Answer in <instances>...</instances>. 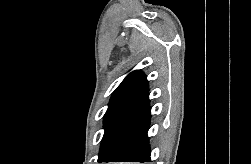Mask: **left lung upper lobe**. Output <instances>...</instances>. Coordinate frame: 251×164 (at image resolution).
<instances>
[{
  "label": "left lung upper lobe",
  "instance_id": "obj_1",
  "mask_svg": "<svg viewBox=\"0 0 251 164\" xmlns=\"http://www.w3.org/2000/svg\"><path fill=\"white\" fill-rule=\"evenodd\" d=\"M149 91L146 76L140 70L129 73L113 92L104 115V136L98 162L111 155L115 137L132 107Z\"/></svg>",
  "mask_w": 251,
  "mask_h": 164
}]
</instances>
